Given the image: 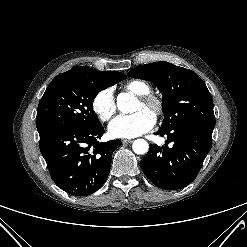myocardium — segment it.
I'll list each match as a JSON object with an SVG mask.
<instances>
[{
    "label": "myocardium",
    "instance_id": "f54148a6",
    "mask_svg": "<svg viewBox=\"0 0 247 247\" xmlns=\"http://www.w3.org/2000/svg\"><path fill=\"white\" fill-rule=\"evenodd\" d=\"M138 101L143 106L150 108L152 114L155 117H159L162 115L164 110V104H163V100L159 96L152 93H147L138 96Z\"/></svg>",
    "mask_w": 247,
    "mask_h": 247
}]
</instances>
